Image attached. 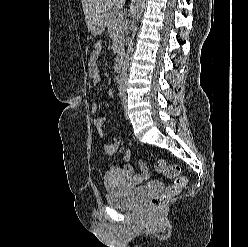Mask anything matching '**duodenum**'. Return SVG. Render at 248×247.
Segmentation results:
<instances>
[{
  "label": "duodenum",
  "instance_id": "410a0bca",
  "mask_svg": "<svg viewBox=\"0 0 248 247\" xmlns=\"http://www.w3.org/2000/svg\"><path fill=\"white\" fill-rule=\"evenodd\" d=\"M115 67L118 72H122L124 67V54L119 53L116 57Z\"/></svg>",
  "mask_w": 248,
  "mask_h": 247
}]
</instances>
